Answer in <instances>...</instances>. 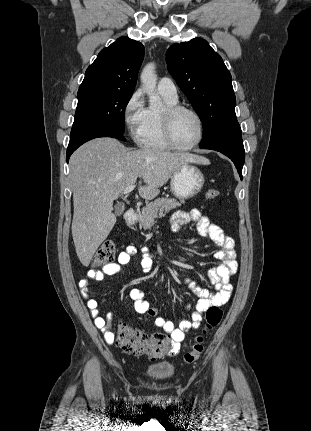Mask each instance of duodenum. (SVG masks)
I'll return each mask as SVG.
<instances>
[{"mask_svg":"<svg viewBox=\"0 0 311 431\" xmlns=\"http://www.w3.org/2000/svg\"><path fill=\"white\" fill-rule=\"evenodd\" d=\"M137 218V211L134 208H129L124 213V221L126 224H132Z\"/></svg>","mask_w":311,"mask_h":431,"instance_id":"410a0bca","label":"duodenum"}]
</instances>
